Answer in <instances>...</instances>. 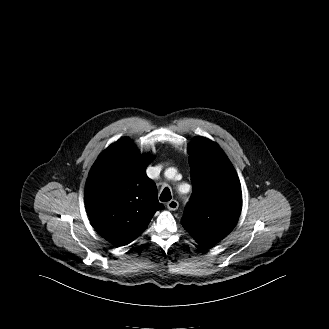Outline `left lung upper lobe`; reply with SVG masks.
Instances as JSON below:
<instances>
[{"label":"left lung upper lobe","mask_w":329,"mask_h":329,"mask_svg":"<svg viewBox=\"0 0 329 329\" xmlns=\"http://www.w3.org/2000/svg\"><path fill=\"white\" fill-rule=\"evenodd\" d=\"M188 153L193 193L181 224L200 245L214 244L238 221L240 182L227 156L213 141L196 137Z\"/></svg>","instance_id":"obj_1"}]
</instances>
